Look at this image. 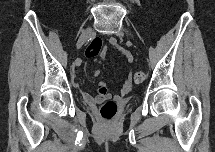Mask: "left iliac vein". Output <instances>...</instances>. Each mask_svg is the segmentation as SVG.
<instances>
[{"label":"left iliac vein","mask_w":215,"mask_h":152,"mask_svg":"<svg viewBox=\"0 0 215 152\" xmlns=\"http://www.w3.org/2000/svg\"><path fill=\"white\" fill-rule=\"evenodd\" d=\"M116 34H117V35H120V34H121V31L117 32Z\"/></svg>","instance_id":"obj_1"}]
</instances>
